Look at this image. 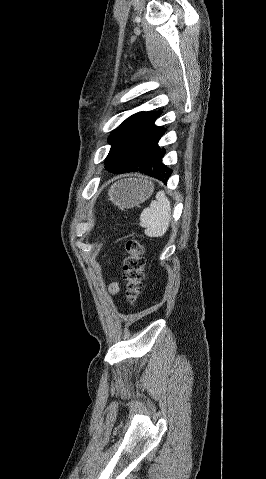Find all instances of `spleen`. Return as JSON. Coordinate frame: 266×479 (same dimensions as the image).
I'll use <instances>...</instances> for the list:
<instances>
[{
  "mask_svg": "<svg viewBox=\"0 0 266 479\" xmlns=\"http://www.w3.org/2000/svg\"><path fill=\"white\" fill-rule=\"evenodd\" d=\"M171 221V203L164 191H159L156 200L152 201L140 215V226L145 228L148 237H162L168 230Z\"/></svg>",
  "mask_w": 266,
  "mask_h": 479,
  "instance_id": "spleen-1",
  "label": "spleen"
}]
</instances>
